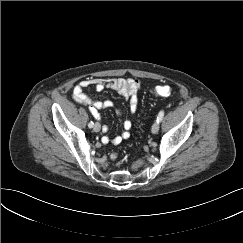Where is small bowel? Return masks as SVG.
I'll use <instances>...</instances> for the list:
<instances>
[{
	"instance_id": "1",
	"label": "small bowel",
	"mask_w": 243,
	"mask_h": 243,
	"mask_svg": "<svg viewBox=\"0 0 243 243\" xmlns=\"http://www.w3.org/2000/svg\"><path fill=\"white\" fill-rule=\"evenodd\" d=\"M88 87H94L97 92H101L106 88L113 89L117 91L125 100L129 102V110L134 113L138 106V93L141 88V82L137 79H121V78H111V79H98V78H87L81 80L73 89L72 97L80 104L89 106L91 113L96 119H100V110L105 108H110L113 106L111 100L100 101L85 93V89ZM120 114V111H117ZM132 127V123L129 120L124 121L123 128L124 131L113 138L104 137L102 139L103 143H112L117 145L122 142V140L129 137V130ZM108 126H103V131H108Z\"/></svg>"
}]
</instances>
